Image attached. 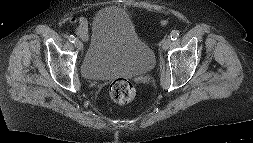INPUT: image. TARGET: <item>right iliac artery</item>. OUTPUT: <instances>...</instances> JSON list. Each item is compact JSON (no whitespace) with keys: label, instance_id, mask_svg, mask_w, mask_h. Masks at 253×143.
I'll return each instance as SVG.
<instances>
[{"label":"right iliac artery","instance_id":"right-iliac-artery-1","mask_svg":"<svg viewBox=\"0 0 253 143\" xmlns=\"http://www.w3.org/2000/svg\"><path fill=\"white\" fill-rule=\"evenodd\" d=\"M68 39H69V41L72 42V43H75V41H76V38H75L74 35H70Z\"/></svg>","mask_w":253,"mask_h":143}]
</instances>
